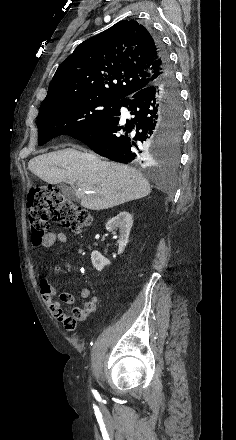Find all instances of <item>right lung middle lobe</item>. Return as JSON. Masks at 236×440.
<instances>
[{
  "mask_svg": "<svg viewBox=\"0 0 236 440\" xmlns=\"http://www.w3.org/2000/svg\"><path fill=\"white\" fill-rule=\"evenodd\" d=\"M173 97L177 99L178 93ZM120 102L98 97L81 96L42 102L37 119L39 145L58 135H74L108 119L119 107ZM181 140V125L165 129L160 140V158L176 162Z\"/></svg>",
  "mask_w": 236,
  "mask_h": 440,
  "instance_id": "right-lung-middle-lobe-1",
  "label": "right lung middle lobe"
}]
</instances>
